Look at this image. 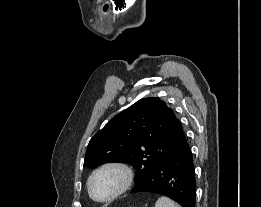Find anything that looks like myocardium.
<instances>
[{
	"label": "myocardium",
	"mask_w": 261,
	"mask_h": 207,
	"mask_svg": "<svg viewBox=\"0 0 261 207\" xmlns=\"http://www.w3.org/2000/svg\"><path fill=\"white\" fill-rule=\"evenodd\" d=\"M109 169L116 170L122 175V183H121L120 187L109 197H107L105 199H97L92 193V187H91L92 180L98 173H100L104 170H109ZM133 178H134V174H133L132 169L125 163H121V162L104 163V164L100 165L99 167H97L90 174L88 181H87L88 194H89L90 198L97 203L111 202L114 199H116L117 197H119L120 195H122L123 193H125L130 188V186L132 185V182H133Z\"/></svg>",
	"instance_id": "1"
}]
</instances>
